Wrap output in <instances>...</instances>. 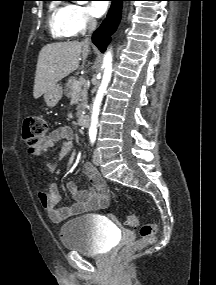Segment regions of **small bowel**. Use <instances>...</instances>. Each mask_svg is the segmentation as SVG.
Instances as JSON below:
<instances>
[{"mask_svg": "<svg viewBox=\"0 0 216 285\" xmlns=\"http://www.w3.org/2000/svg\"><path fill=\"white\" fill-rule=\"evenodd\" d=\"M74 133L69 126H60L53 130L41 146V152L46 153L57 143H61L57 157L69 155L73 149ZM50 171L54 170V162L47 161ZM84 174L90 179L92 189H80L73 181L67 184V188L76 203L67 207H60V197L54 183L48 185L46 190L39 193V199L47 211L49 218L54 223H60L70 217L87 213L96 209H102L109 204V189L95 167L90 163H84L82 168Z\"/></svg>", "mask_w": 216, "mask_h": 285, "instance_id": "obj_1", "label": "small bowel"}]
</instances>
